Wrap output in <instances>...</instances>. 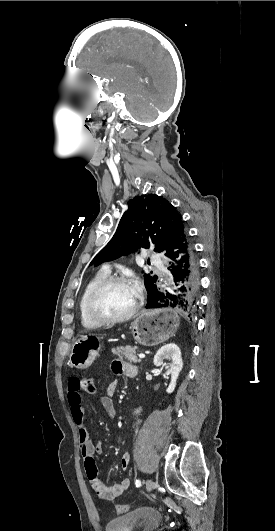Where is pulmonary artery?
Listing matches in <instances>:
<instances>
[{"mask_svg":"<svg viewBox=\"0 0 275 531\" xmlns=\"http://www.w3.org/2000/svg\"><path fill=\"white\" fill-rule=\"evenodd\" d=\"M149 261L150 263H152L153 268L156 269L159 274L164 275L167 273L168 271L167 266L164 265V262L160 260V257L157 255L155 251H152L150 253Z\"/></svg>","mask_w":275,"mask_h":531,"instance_id":"1","label":"pulmonary artery"}]
</instances>
